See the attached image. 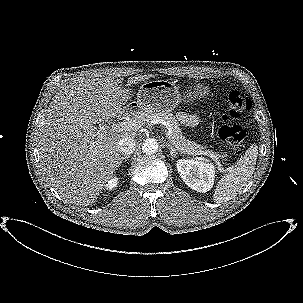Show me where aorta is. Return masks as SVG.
Instances as JSON below:
<instances>
[{"instance_id": "aorta-1", "label": "aorta", "mask_w": 303, "mask_h": 303, "mask_svg": "<svg viewBox=\"0 0 303 303\" xmlns=\"http://www.w3.org/2000/svg\"><path fill=\"white\" fill-rule=\"evenodd\" d=\"M158 142L157 140L153 139V138H148L145 140L143 146H142V150L145 154L147 155H151L157 152L158 150Z\"/></svg>"}]
</instances>
